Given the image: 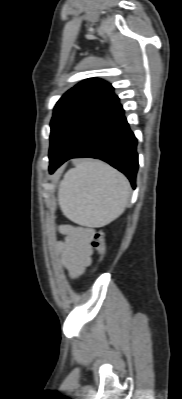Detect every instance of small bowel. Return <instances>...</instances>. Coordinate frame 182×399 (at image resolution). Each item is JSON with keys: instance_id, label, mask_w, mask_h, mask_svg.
<instances>
[{"instance_id": "small-bowel-1", "label": "small bowel", "mask_w": 182, "mask_h": 399, "mask_svg": "<svg viewBox=\"0 0 182 399\" xmlns=\"http://www.w3.org/2000/svg\"><path fill=\"white\" fill-rule=\"evenodd\" d=\"M59 232L65 236L56 245L60 264L70 277L77 278L91 264L95 228L66 224L59 227Z\"/></svg>"}]
</instances>
